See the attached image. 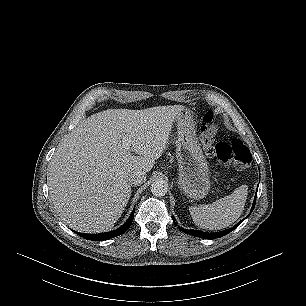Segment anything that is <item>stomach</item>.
Instances as JSON below:
<instances>
[{
  "label": "stomach",
  "mask_w": 306,
  "mask_h": 306,
  "mask_svg": "<svg viewBox=\"0 0 306 306\" xmlns=\"http://www.w3.org/2000/svg\"><path fill=\"white\" fill-rule=\"evenodd\" d=\"M178 185L189 198L199 200L210 190L209 169L196 135L195 122L188 109L176 119Z\"/></svg>",
  "instance_id": "obj_1"
}]
</instances>
